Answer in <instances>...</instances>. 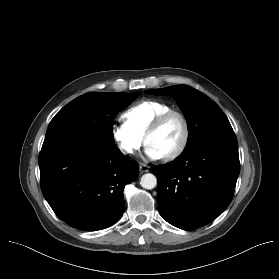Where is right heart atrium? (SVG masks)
<instances>
[{"label":"right heart atrium","mask_w":279,"mask_h":279,"mask_svg":"<svg viewBox=\"0 0 279 279\" xmlns=\"http://www.w3.org/2000/svg\"><path fill=\"white\" fill-rule=\"evenodd\" d=\"M111 135L118 150L126 156L135 155L143 145V137L134 132L126 122L113 124Z\"/></svg>","instance_id":"obj_1"}]
</instances>
